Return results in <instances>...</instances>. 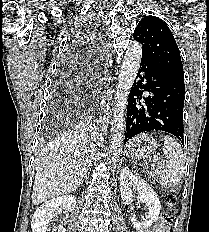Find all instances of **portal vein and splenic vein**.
Wrapping results in <instances>:
<instances>
[{
    "mask_svg": "<svg viewBox=\"0 0 209 232\" xmlns=\"http://www.w3.org/2000/svg\"><path fill=\"white\" fill-rule=\"evenodd\" d=\"M158 160H159V159H158V157H156V156L153 158V162H157Z\"/></svg>",
    "mask_w": 209,
    "mask_h": 232,
    "instance_id": "portal-vein-and-splenic-vein-1",
    "label": "portal vein and splenic vein"
}]
</instances>
